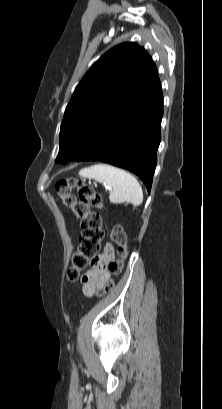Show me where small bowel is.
<instances>
[{
	"label": "small bowel",
	"instance_id": "1",
	"mask_svg": "<svg viewBox=\"0 0 222 409\" xmlns=\"http://www.w3.org/2000/svg\"><path fill=\"white\" fill-rule=\"evenodd\" d=\"M115 258L114 248L111 244H106L104 252L101 256H91V269L87 271L81 278L83 284L82 291L87 297H92L97 290L103 287L110 279L111 275L108 272L110 266L109 261Z\"/></svg>",
	"mask_w": 222,
	"mask_h": 409
}]
</instances>
